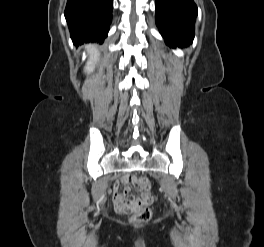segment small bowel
<instances>
[{
	"label": "small bowel",
	"mask_w": 264,
	"mask_h": 247,
	"mask_svg": "<svg viewBox=\"0 0 264 247\" xmlns=\"http://www.w3.org/2000/svg\"><path fill=\"white\" fill-rule=\"evenodd\" d=\"M128 182L129 177L124 176L119 182L113 185V200L117 207H119L120 200L126 198L130 192V187L127 185Z\"/></svg>",
	"instance_id": "1"
}]
</instances>
